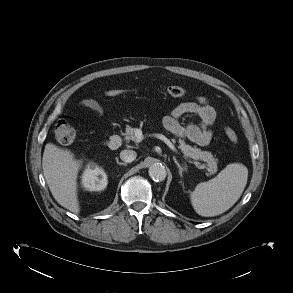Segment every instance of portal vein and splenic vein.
I'll return each mask as SVG.
<instances>
[{
    "label": "portal vein and splenic vein",
    "instance_id": "1",
    "mask_svg": "<svg viewBox=\"0 0 293 293\" xmlns=\"http://www.w3.org/2000/svg\"><path fill=\"white\" fill-rule=\"evenodd\" d=\"M150 136L152 137H155V138H158L160 140H162L163 142H165L169 148L171 150H173L174 152H178L176 147L174 146V144L166 137L164 136L163 134H158V133H154V134H150ZM143 134H142V131L141 130H137L136 131V142L139 143L143 140Z\"/></svg>",
    "mask_w": 293,
    "mask_h": 293
}]
</instances>
